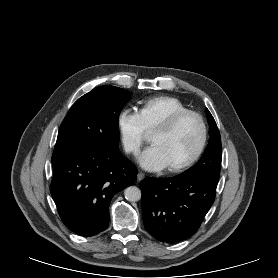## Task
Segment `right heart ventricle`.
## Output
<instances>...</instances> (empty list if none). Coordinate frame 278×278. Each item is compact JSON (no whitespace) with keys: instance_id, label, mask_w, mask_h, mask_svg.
<instances>
[{"instance_id":"1","label":"right heart ventricle","mask_w":278,"mask_h":278,"mask_svg":"<svg viewBox=\"0 0 278 278\" xmlns=\"http://www.w3.org/2000/svg\"><path fill=\"white\" fill-rule=\"evenodd\" d=\"M187 110L189 109L175 97L157 96L141 101L138 113L146 131H152L173 115Z\"/></svg>"}]
</instances>
